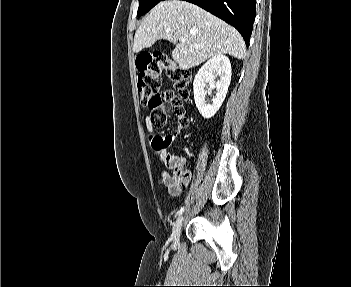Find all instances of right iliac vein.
I'll use <instances>...</instances> for the list:
<instances>
[{
  "mask_svg": "<svg viewBox=\"0 0 351 287\" xmlns=\"http://www.w3.org/2000/svg\"><path fill=\"white\" fill-rule=\"evenodd\" d=\"M183 220H184V217L183 216H180L176 222L174 223V226H173V229H172V239H173V242L174 244H178L179 242V238H180V234H181V228H182V225H183Z\"/></svg>",
  "mask_w": 351,
  "mask_h": 287,
  "instance_id": "63e3f726",
  "label": "right iliac vein"
}]
</instances>
